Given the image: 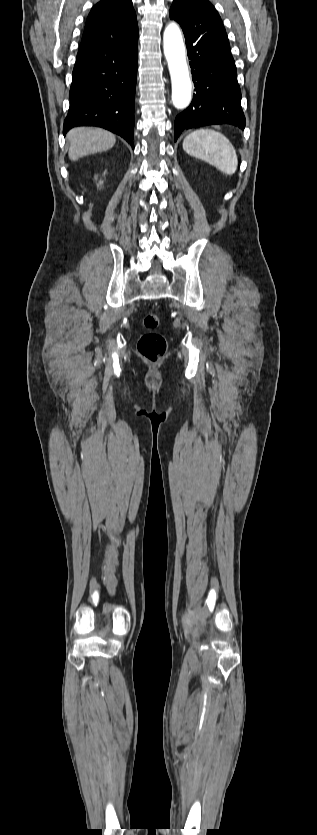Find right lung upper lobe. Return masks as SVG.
I'll list each match as a JSON object with an SVG mask.
<instances>
[{"label": "right lung upper lobe", "mask_w": 317, "mask_h": 835, "mask_svg": "<svg viewBox=\"0 0 317 835\" xmlns=\"http://www.w3.org/2000/svg\"><path fill=\"white\" fill-rule=\"evenodd\" d=\"M138 35L136 14L131 0H101L90 11L81 45L96 43L113 46Z\"/></svg>", "instance_id": "1"}]
</instances>
